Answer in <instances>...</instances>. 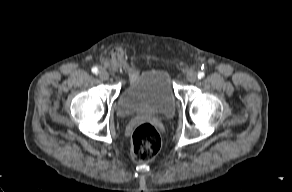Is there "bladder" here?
Segmentation results:
<instances>
[{
  "label": "bladder",
  "instance_id": "obj_1",
  "mask_svg": "<svg viewBox=\"0 0 292 192\" xmlns=\"http://www.w3.org/2000/svg\"><path fill=\"white\" fill-rule=\"evenodd\" d=\"M176 97L168 73L151 69L130 77L119 94L117 114L121 118L134 115H160L174 113Z\"/></svg>",
  "mask_w": 292,
  "mask_h": 192
}]
</instances>
